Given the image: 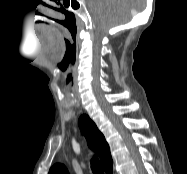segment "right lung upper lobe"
<instances>
[{
	"instance_id": "cb5924a9",
	"label": "right lung upper lobe",
	"mask_w": 187,
	"mask_h": 174,
	"mask_svg": "<svg viewBox=\"0 0 187 174\" xmlns=\"http://www.w3.org/2000/svg\"><path fill=\"white\" fill-rule=\"evenodd\" d=\"M80 129L86 137L89 147L100 157L105 172L107 174H112L113 161L109 146L105 141L103 134L91 121L88 126L80 124ZM49 174H68V171L64 165L56 164L50 169Z\"/></svg>"
}]
</instances>
